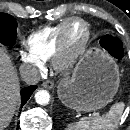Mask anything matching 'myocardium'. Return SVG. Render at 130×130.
<instances>
[{"instance_id": "obj_1", "label": "myocardium", "mask_w": 130, "mask_h": 130, "mask_svg": "<svg viewBox=\"0 0 130 130\" xmlns=\"http://www.w3.org/2000/svg\"><path fill=\"white\" fill-rule=\"evenodd\" d=\"M79 22L84 28V38L79 46L74 47L69 40L70 27ZM90 40V27L81 18H71L64 26L58 42V47L53 55V67L59 72L72 69L79 59L84 55Z\"/></svg>"}]
</instances>
